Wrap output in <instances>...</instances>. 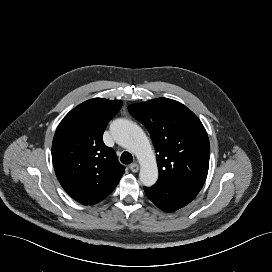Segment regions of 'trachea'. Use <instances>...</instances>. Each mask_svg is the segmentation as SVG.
Here are the masks:
<instances>
[{
  "mask_svg": "<svg viewBox=\"0 0 272 272\" xmlns=\"http://www.w3.org/2000/svg\"><path fill=\"white\" fill-rule=\"evenodd\" d=\"M120 160L123 164H131L133 157L129 152L125 151L121 154Z\"/></svg>",
  "mask_w": 272,
  "mask_h": 272,
  "instance_id": "obj_1",
  "label": "trachea"
}]
</instances>
